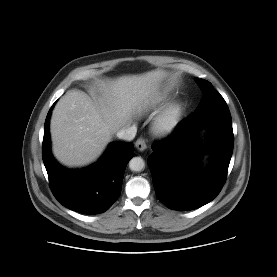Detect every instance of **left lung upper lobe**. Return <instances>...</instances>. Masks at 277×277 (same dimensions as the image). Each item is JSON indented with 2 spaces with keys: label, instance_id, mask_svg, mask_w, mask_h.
<instances>
[{
  "label": "left lung upper lobe",
  "instance_id": "obj_1",
  "mask_svg": "<svg viewBox=\"0 0 277 277\" xmlns=\"http://www.w3.org/2000/svg\"><path fill=\"white\" fill-rule=\"evenodd\" d=\"M200 84L202 85L203 89V97L195 112L203 110L215 104H226L223 97L218 93L217 90H215L210 82L204 79H200Z\"/></svg>",
  "mask_w": 277,
  "mask_h": 277
}]
</instances>
